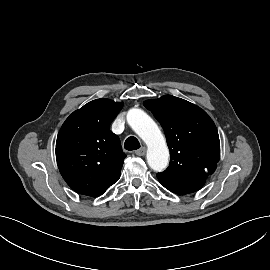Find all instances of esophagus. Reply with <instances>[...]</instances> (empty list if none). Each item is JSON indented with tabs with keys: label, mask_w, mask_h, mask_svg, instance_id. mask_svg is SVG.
Returning <instances> with one entry per match:
<instances>
[{
	"label": "esophagus",
	"mask_w": 270,
	"mask_h": 270,
	"mask_svg": "<svg viewBox=\"0 0 270 270\" xmlns=\"http://www.w3.org/2000/svg\"><path fill=\"white\" fill-rule=\"evenodd\" d=\"M135 154L138 156H144L146 154V148L145 147H141L140 149H138L137 151H135Z\"/></svg>",
	"instance_id": "obj_1"
}]
</instances>
